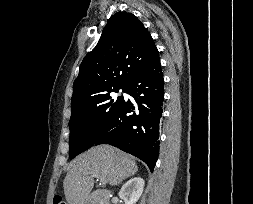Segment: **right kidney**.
Returning a JSON list of instances; mask_svg holds the SVG:
<instances>
[{
  "mask_svg": "<svg viewBox=\"0 0 253 204\" xmlns=\"http://www.w3.org/2000/svg\"><path fill=\"white\" fill-rule=\"evenodd\" d=\"M145 182L141 177H134L127 181L119 191V197L125 204H136L143 193Z\"/></svg>",
  "mask_w": 253,
  "mask_h": 204,
  "instance_id": "1",
  "label": "right kidney"
}]
</instances>
